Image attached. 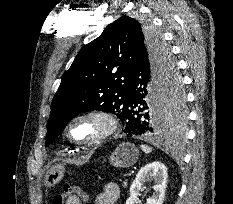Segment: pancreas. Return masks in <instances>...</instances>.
I'll use <instances>...</instances> for the list:
<instances>
[{
  "label": "pancreas",
  "instance_id": "cf45deb5",
  "mask_svg": "<svg viewBox=\"0 0 233 204\" xmlns=\"http://www.w3.org/2000/svg\"><path fill=\"white\" fill-rule=\"evenodd\" d=\"M122 186H123L124 188L127 187V181H124Z\"/></svg>",
  "mask_w": 233,
  "mask_h": 204
}]
</instances>
